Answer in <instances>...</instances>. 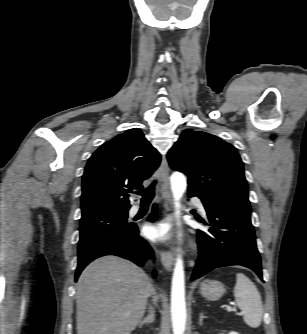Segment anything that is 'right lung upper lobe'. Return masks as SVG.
<instances>
[{
	"instance_id": "obj_1",
	"label": "right lung upper lobe",
	"mask_w": 307,
	"mask_h": 334,
	"mask_svg": "<svg viewBox=\"0 0 307 334\" xmlns=\"http://www.w3.org/2000/svg\"><path fill=\"white\" fill-rule=\"evenodd\" d=\"M160 160V154L139 129H130L101 145L85 167L82 216L128 212L131 205L125 192L142 189V182L153 174Z\"/></svg>"
}]
</instances>
